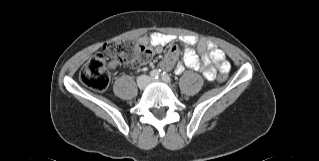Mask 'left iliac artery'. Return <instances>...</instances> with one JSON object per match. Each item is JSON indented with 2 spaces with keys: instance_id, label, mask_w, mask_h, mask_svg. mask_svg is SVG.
<instances>
[{
  "instance_id": "left-iliac-artery-1",
  "label": "left iliac artery",
  "mask_w": 319,
  "mask_h": 161,
  "mask_svg": "<svg viewBox=\"0 0 319 161\" xmlns=\"http://www.w3.org/2000/svg\"><path fill=\"white\" fill-rule=\"evenodd\" d=\"M161 79L164 81V82H167V83H170L171 82V78L170 76L166 73V72H163L161 74Z\"/></svg>"
}]
</instances>
